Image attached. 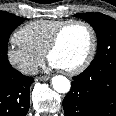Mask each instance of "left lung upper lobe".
I'll use <instances>...</instances> for the list:
<instances>
[{"instance_id": "obj_1", "label": "left lung upper lobe", "mask_w": 116, "mask_h": 116, "mask_svg": "<svg viewBox=\"0 0 116 116\" xmlns=\"http://www.w3.org/2000/svg\"><path fill=\"white\" fill-rule=\"evenodd\" d=\"M75 17L87 21L97 35V54L88 67L116 62V20L99 12L79 13Z\"/></svg>"}]
</instances>
